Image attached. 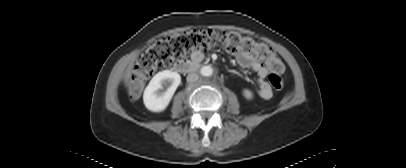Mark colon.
<instances>
[{
  "instance_id": "colon-1",
  "label": "colon",
  "mask_w": 406,
  "mask_h": 168,
  "mask_svg": "<svg viewBox=\"0 0 406 168\" xmlns=\"http://www.w3.org/2000/svg\"><path fill=\"white\" fill-rule=\"evenodd\" d=\"M217 45L231 53L255 55L263 59L271 69V86L275 90L283 88L284 65L267 44L233 31L190 29L164 37L140 54L125 78L129 97L137 99L148 78L156 71L169 67L175 60Z\"/></svg>"
}]
</instances>
